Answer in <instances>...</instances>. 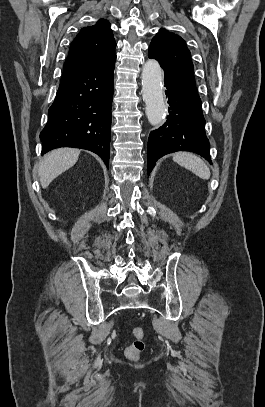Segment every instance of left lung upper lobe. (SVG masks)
Returning <instances> with one entry per match:
<instances>
[{"instance_id":"5c2ea615","label":"left lung upper lobe","mask_w":265,"mask_h":407,"mask_svg":"<svg viewBox=\"0 0 265 407\" xmlns=\"http://www.w3.org/2000/svg\"><path fill=\"white\" fill-rule=\"evenodd\" d=\"M149 57L158 60L165 75L196 89L191 53L180 36L161 29L151 41Z\"/></svg>"}]
</instances>
